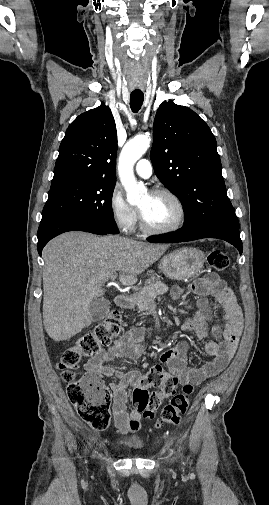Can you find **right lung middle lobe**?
Segmentation results:
<instances>
[{
	"instance_id": "obj_1",
	"label": "right lung middle lobe",
	"mask_w": 269,
	"mask_h": 505,
	"mask_svg": "<svg viewBox=\"0 0 269 505\" xmlns=\"http://www.w3.org/2000/svg\"><path fill=\"white\" fill-rule=\"evenodd\" d=\"M115 182H76L52 187L42 212V222L70 218L95 225L111 234L118 228L111 210Z\"/></svg>"
}]
</instances>
